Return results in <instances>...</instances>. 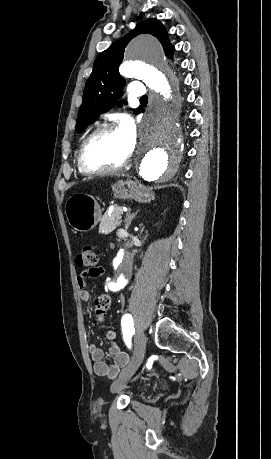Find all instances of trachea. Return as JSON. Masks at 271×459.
I'll use <instances>...</instances> for the list:
<instances>
[{
	"mask_svg": "<svg viewBox=\"0 0 271 459\" xmlns=\"http://www.w3.org/2000/svg\"><path fill=\"white\" fill-rule=\"evenodd\" d=\"M141 102H148V97L146 95H144L143 97H141L140 99Z\"/></svg>",
	"mask_w": 271,
	"mask_h": 459,
	"instance_id": "3493384b",
	"label": "trachea"
}]
</instances>
